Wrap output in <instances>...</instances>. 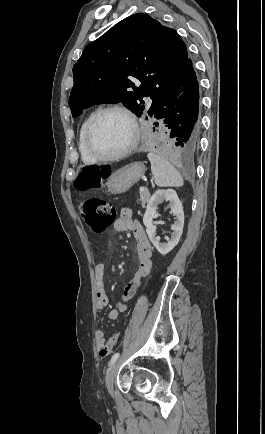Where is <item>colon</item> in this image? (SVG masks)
<instances>
[{"label":"colon","instance_id":"obj_1","mask_svg":"<svg viewBox=\"0 0 265 434\" xmlns=\"http://www.w3.org/2000/svg\"><path fill=\"white\" fill-rule=\"evenodd\" d=\"M109 166L107 164H87L86 168L78 169V178L75 180V189L84 192L85 189H98V177L101 173H107ZM78 211L83 218L91 234L100 235L105 229L109 228L116 220V211L112 202L104 198L91 197L78 203ZM118 337L114 336L108 343L101 347L97 352L99 358L105 361L111 356V349L117 343Z\"/></svg>","mask_w":265,"mask_h":434}]
</instances>
